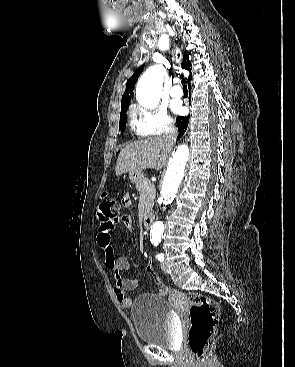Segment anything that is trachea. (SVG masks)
<instances>
[{"instance_id": "trachea-1", "label": "trachea", "mask_w": 295, "mask_h": 367, "mask_svg": "<svg viewBox=\"0 0 295 367\" xmlns=\"http://www.w3.org/2000/svg\"><path fill=\"white\" fill-rule=\"evenodd\" d=\"M178 57H179V54H178ZM183 91H188V89H187V85H183Z\"/></svg>"}]
</instances>
